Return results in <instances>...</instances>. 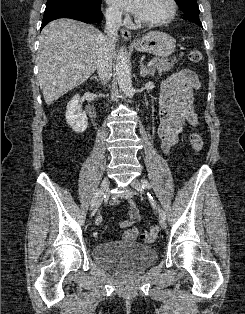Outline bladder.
I'll use <instances>...</instances> for the list:
<instances>
[{
    "mask_svg": "<svg viewBox=\"0 0 245 314\" xmlns=\"http://www.w3.org/2000/svg\"><path fill=\"white\" fill-rule=\"evenodd\" d=\"M92 252L96 263L122 276L143 272L158 257L153 247L138 242L98 244Z\"/></svg>",
    "mask_w": 245,
    "mask_h": 314,
    "instance_id": "31cf9c89",
    "label": "bladder"
}]
</instances>
